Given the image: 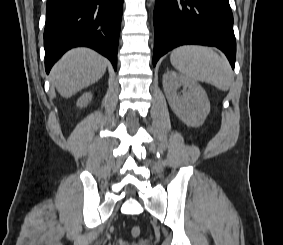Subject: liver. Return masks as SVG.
<instances>
[{"label": "liver", "mask_w": 283, "mask_h": 245, "mask_svg": "<svg viewBox=\"0 0 283 245\" xmlns=\"http://www.w3.org/2000/svg\"><path fill=\"white\" fill-rule=\"evenodd\" d=\"M107 60L88 48L66 53L52 68L50 78L58 93L70 98L97 82L105 73Z\"/></svg>", "instance_id": "obj_1"}]
</instances>
